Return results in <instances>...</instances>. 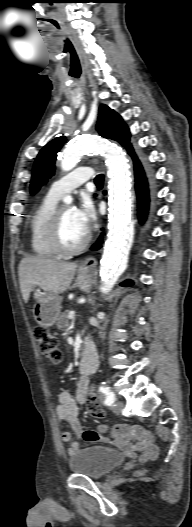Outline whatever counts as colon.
<instances>
[{
  "label": "colon",
  "mask_w": 192,
  "mask_h": 527,
  "mask_svg": "<svg viewBox=\"0 0 192 527\" xmlns=\"http://www.w3.org/2000/svg\"><path fill=\"white\" fill-rule=\"evenodd\" d=\"M33 334L40 353L53 363H59L62 359V354L59 348L57 337L42 326H35L33 329ZM86 406L89 414L93 418L101 419L104 417V411L101 407L99 399L92 390H89L86 395Z\"/></svg>",
  "instance_id": "1"
}]
</instances>
